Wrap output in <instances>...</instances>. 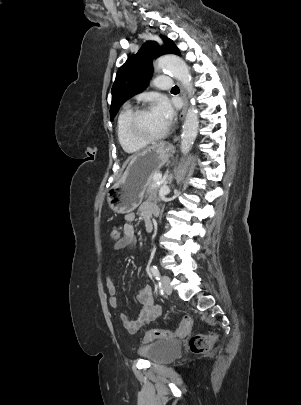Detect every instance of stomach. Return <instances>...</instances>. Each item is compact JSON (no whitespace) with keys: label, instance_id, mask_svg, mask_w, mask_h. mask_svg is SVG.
<instances>
[{"label":"stomach","instance_id":"0dacf381","mask_svg":"<svg viewBox=\"0 0 301 405\" xmlns=\"http://www.w3.org/2000/svg\"><path fill=\"white\" fill-rule=\"evenodd\" d=\"M172 151L171 145L161 142L134 156L121 178L109 190L110 208L120 214L135 210L153 175L168 161Z\"/></svg>","mask_w":301,"mask_h":405}]
</instances>
